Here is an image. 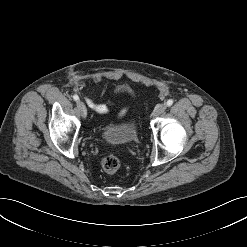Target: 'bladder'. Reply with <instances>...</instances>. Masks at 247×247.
Here are the masks:
<instances>
[{
    "label": "bladder",
    "mask_w": 247,
    "mask_h": 247,
    "mask_svg": "<svg viewBox=\"0 0 247 247\" xmlns=\"http://www.w3.org/2000/svg\"><path fill=\"white\" fill-rule=\"evenodd\" d=\"M103 139L108 143L127 144L138 137L136 121L131 119L125 123L106 126L102 132Z\"/></svg>",
    "instance_id": "bladder-1"
}]
</instances>
